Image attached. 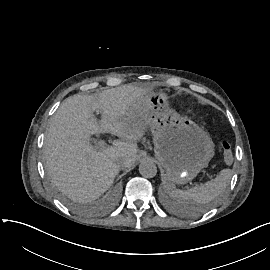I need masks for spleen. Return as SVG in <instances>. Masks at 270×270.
Masks as SVG:
<instances>
[{"label":"spleen","mask_w":270,"mask_h":270,"mask_svg":"<svg viewBox=\"0 0 270 270\" xmlns=\"http://www.w3.org/2000/svg\"><path fill=\"white\" fill-rule=\"evenodd\" d=\"M233 173L231 169H223L215 179L195 186L194 188L182 191L175 189L173 185L168 184L167 190L169 196L179 202H193L194 204H206L222 194L230 183Z\"/></svg>","instance_id":"obj_1"}]
</instances>
